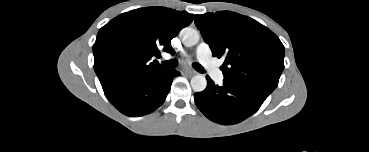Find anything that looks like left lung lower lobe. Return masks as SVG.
Returning <instances> with one entry per match:
<instances>
[{
	"label": "left lung lower lobe",
	"mask_w": 369,
	"mask_h": 152,
	"mask_svg": "<svg viewBox=\"0 0 369 152\" xmlns=\"http://www.w3.org/2000/svg\"><path fill=\"white\" fill-rule=\"evenodd\" d=\"M204 91L194 95L199 110L210 120L224 125L239 123L254 114L271 92L248 84L223 80L215 85L209 76Z\"/></svg>",
	"instance_id": "1"
}]
</instances>
